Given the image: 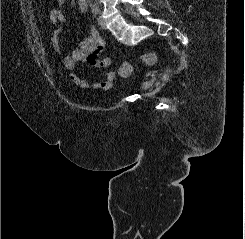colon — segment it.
<instances>
[{
	"mask_svg": "<svg viewBox=\"0 0 245 239\" xmlns=\"http://www.w3.org/2000/svg\"><path fill=\"white\" fill-rule=\"evenodd\" d=\"M139 61L147 64L152 65L156 62V54L153 52H148L139 57ZM132 72V63L129 61H126L122 63L119 67V73L121 76H128Z\"/></svg>",
	"mask_w": 245,
	"mask_h": 239,
	"instance_id": "obj_1",
	"label": "colon"
}]
</instances>
